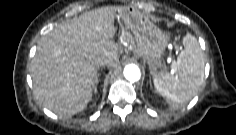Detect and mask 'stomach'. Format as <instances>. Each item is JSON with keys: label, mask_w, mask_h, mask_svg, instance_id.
Returning <instances> with one entry per match:
<instances>
[{"label": "stomach", "mask_w": 236, "mask_h": 135, "mask_svg": "<svg viewBox=\"0 0 236 135\" xmlns=\"http://www.w3.org/2000/svg\"><path fill=\"white\" fill-rule=\"evenodd\" d=\"M133 13L134 11L127 7L118 12L124 24L132 20ZM125 32H129V30L126 29ZM135 42L137 45L135 55L147 60L151 74L155 77L160 73V60L168 45L167 36L159 28L151 25L140 33V36L135 39Z\"/></svg>", "instance_id": "obj_1"}]
</instances>
